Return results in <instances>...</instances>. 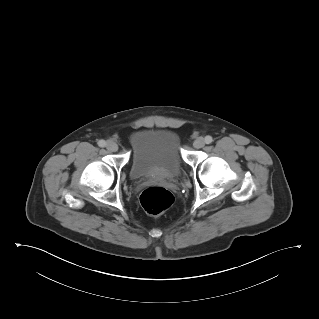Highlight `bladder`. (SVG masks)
<instances>
[{
	"mask_svg": "<svg viewBox=\"0 0 319 319\" xmlns=\"http://www.w3.org/2000/svg\"><path fill=\"white\" fill-rule=\"evenodd\" d=\"M129 173L138 180L153 174L177 177L183 170L180 139L169 129H144L130 138Z\"/></svg>",
	"mask_w": 319,
	"mask_h": 319,
	"instance_id": "31cf9c89",
	"label": "bladder"
}]
</instances>
